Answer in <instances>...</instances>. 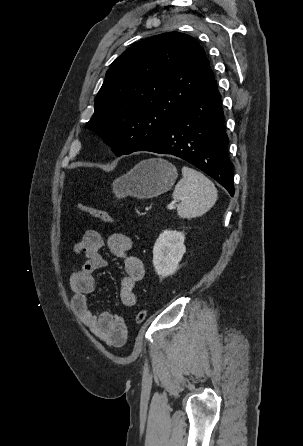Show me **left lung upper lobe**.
Here are the masks:
<instances>
[{
    "instance_id": "obj_1",
    "label": "left lung upper lobe",
    "mask_w": 303,
    "mask_h": 446,
    "mask_svg": "<svg viewBox=\"0 0 303 446\" xmlns=\"http://www.w3.org/2000/svg\"><path fill=\"white\" fill-rule=\"evenodd\" d=\"M213 78L204 49L191 36L149 37L111 64L86 127L117 156L130 154L164 133Z\"/></svg>"
}]
</instances>
